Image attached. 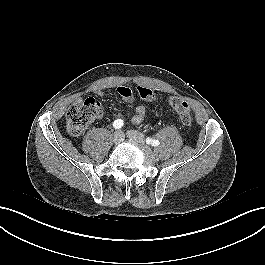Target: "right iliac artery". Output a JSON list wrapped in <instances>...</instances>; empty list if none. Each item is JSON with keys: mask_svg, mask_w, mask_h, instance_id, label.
<instances>
[{"mask_svg": "<svg viewBox=\"0 0 265 265\" xmlns=\"http://www.w3.org/2000/svg\"><path fill=\"white\" fill-rule=\"evenodd\" d=\"M124 125L123 120L117 119L113 122V127L115 129H120Z\"/></svg>", "mask_w": 265, "mask_h": 265, "instance_id": "obj_1", "label": "right iliac artery"}]
</instances>
